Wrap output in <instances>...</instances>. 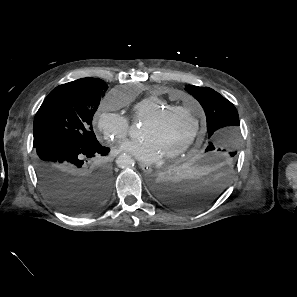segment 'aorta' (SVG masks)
Segmentation results:
<instances>
[{
    "label": "aorta",
    "mask_w": 297,
    "mask_h": 297,
    "mask_svg": "<svg viewBox=\"0 0 297 297\" xmlns=\"http://www.w3.org/2000/svg\"><path fill=\"white\" fill-rule=\"evenodd\" d=\"M129 134L131 138L137 137V130L134 125L131 126ZM116 163L120 168H130L134 165V160L131 158V156L122 154L117 158Z\"/></svg>",
    "instance_id": "aorta-1"
}]
</instances>
